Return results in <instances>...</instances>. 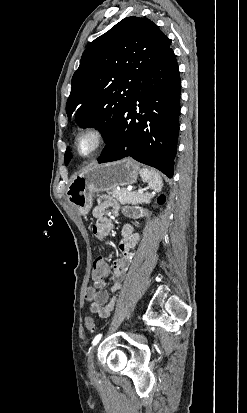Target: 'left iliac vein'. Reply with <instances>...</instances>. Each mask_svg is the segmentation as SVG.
Listing matches in <instances>:
<instances>
[{"label":"left iliac vein","mask_w":247,"mask_h":413,"mask_svg":"<svg viewBox=\"0 0 247 413\" xmlns=\"http://www.w3.org/2000/svg\"><path fill=\"white\" fill-rule=\"evenodd\" d=\"M95 353H96V348L94 347V348L90 351L89 356H88L87 367H88V370H89V372H90L91 374H95V373H96V371H95V364H94V355H95Z\"/></svg>","instance_id":"1"}]
</instances>
